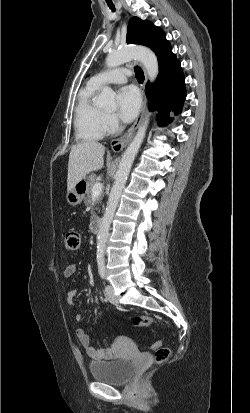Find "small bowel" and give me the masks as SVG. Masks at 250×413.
<instances>
[{"mask_svg": "<svg viewBox=\"0 0 250 413\" xmlns=\"http://www.w3.org/2000/svg\"><path fill=\"white\" fill-rule=\"evenodd\" d=\"M76 269L77 268L74 263L68 264L63 270L64 277L65 278L71 277L76 272ZM76 294H77V291L75 289H71L67 293V301L71 306L76 305V301H75ZM75 319L77 322L82 321L83 314L81 313L76 314ZM76 336L80 344L86 350L88 356L95 361L111 360L115 358L118 354L119 347L123 341L121 337H117L114 339L110 348L97 349L91 344L90 336L84 329L78 328L76 330Z\"/></svg>", "mask_w": 250, "mask_h": 413, "instance_id": "obj_1", "label": "small bowel"}]
</instances>
